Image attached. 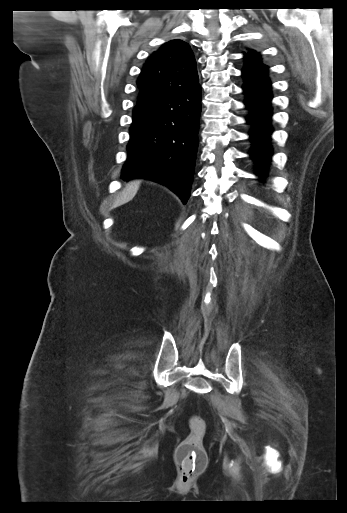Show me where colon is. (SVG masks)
Returning <instances> with one entry per match:
<instances>
[{"mask_svg":"<svg viewBox=\"0 0 347 513\" xmlns=\"http://www.w3.org/2000/svg\"><path fill=\"white\" fill-rule=\"evenodd\" d=\"M190 433L178 451V467L188 477H194L206 466L203 439L206 425L202 418L193 416L189 420Z\"/></svg>","mask_w":347,"mask_h":513,"instance_id":"obj_1","label":"colon"}]
</instances>
